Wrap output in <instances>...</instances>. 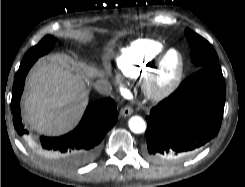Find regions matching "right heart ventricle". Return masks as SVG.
<instances>
[{"mask_svg":"<svg viewBox=\"0 0 245 187\" xmlns=\"http://www.w3.org/2000/svg\"><path fill=\"white\" fill-rule=\"evenodd\" d=\"M164 45L154 39H140L121 50L116 59L122 77H143L153 66Z\"/></svg>","mask_w":245,"mask_h":187,"instance_id":"1","label":"right heart ventricle"}]
</instances>
